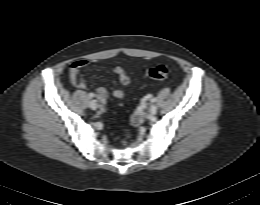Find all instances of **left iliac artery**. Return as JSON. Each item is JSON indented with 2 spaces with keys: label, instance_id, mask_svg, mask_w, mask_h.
<instances>
[{
  "label": "left iliac artery",
  "instance_id": "44dca946",
  "mask_svg": "<svg viewBox=\"0 0 260 205\" xmlns=\"http://www.w3.org/2000/svg\"><path fill=\"white\" fill-rule=\"evenodd\" d=\"M157 101V98L156 97H153L152 99H151V102L152 103H154V102H156Z\"/></svg>",
  "mask_w": 260,
  "mask_h": 205
}]
</instances>
